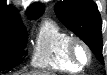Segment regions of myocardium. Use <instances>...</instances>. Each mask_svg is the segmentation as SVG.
Masks as SVG:
<instances>
[{"instance_id": "1", "label": "myocardium", "mask_w": 107, "mask_h": 75, "mask_svg": "<svg viewBox=\"0 0 107 75\" xmlns=\"http://www.w3.org/2000/svg\"><path fill=\"white\" fill-rule=\"evenodd\" d=\"M79 47L83 48L86 52L87 58L85 61H82L77 54V49ZM68 55L70 60L81 68L88 66L92 61V51L90 47L86 42L77 37H72L70 40L68 44Z\"/></svg>"}]
</instances>
